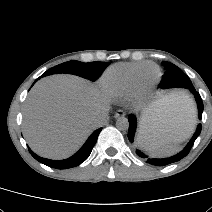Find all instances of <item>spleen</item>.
I'll list each match as a JSON object with an SVG mask.
<instances>
[{
	"label": "spleen",
	"instance_id": "3e777b00",
	"mask_svg": "<svg viewBox=\"0 0 212 212\" xmlns=\"http://www.w3.org/2000/svg\"><path fill=\"white\" fill-rule=\"evenodd\" d=\"M177 99L190 111L195 112L193 100L185 93H173ZM146 115L141 119L140 130L138 134V144L156 156H169L176 153L179 150V143L184 139L178 137L175 134L162 135L156 131H150L145 128Z\"/></svg>",
	"mask_w": 212,
	"mask_h": 212
}]
</instances>
